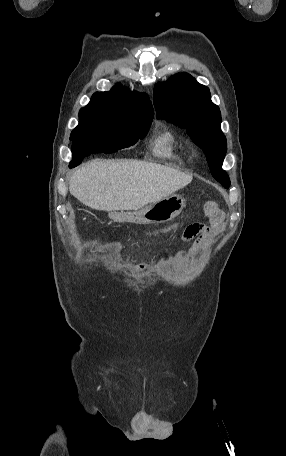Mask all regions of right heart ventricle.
I'll use <instances>...</instances> for the list:
<instances>
[{"instance_id":"1","label":"right heart ventricle","mask_w":286,"mask_h":456,"mask_svg":"<svg viewBox=\"0 0 286 456\" xmlns=\"http://www.w3.org/2000/svg\"><path fill=\"white\" fill-rule=\"evenodd\" d=\"M153 153L169 159H181L185 156V145L171 129H164L152 143Z\"/></svg>"}]
</instances>
